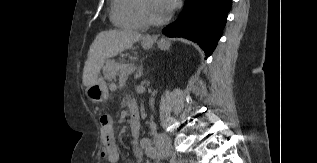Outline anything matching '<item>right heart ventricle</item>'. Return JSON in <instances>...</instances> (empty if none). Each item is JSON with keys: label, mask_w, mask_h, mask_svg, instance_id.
Here are the masks:
<instances>
[{"label": "right heart ventricle", "mask_w": 317, "mask_h": 163, "mask_svg": "<svg viewBox=\"0 0 317 163\" xmlns=\"http://www.w3.org/2000/svg\"><path fill=\"white\" fill-rule=\"evenodd\" d=\"M139 0H112L111 21L123 29H144L147 23L140 15Z\"/></svg>", "instance_id": "1"}]
</instances>
